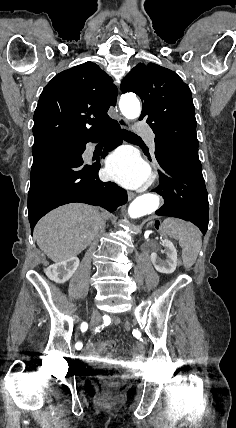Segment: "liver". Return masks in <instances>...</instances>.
<instances>
[{
  "mask_svg": "<svg viewBox=\"0 0 236 428\" xmlns=\"http://www.w3.org/2000/svg\"><path fill=\"white\" fill-rule=\"evenodd\" d=\"M104 224L100 212L92 206H60L39 220L35 228L37 246L53 262H63L86 250Z\"/></svg>",
  "mask_w": 236,
  "mask_h": 428,
  "instance_id": "1",
  "label": "liver"
}]
</instances>
